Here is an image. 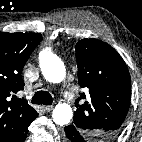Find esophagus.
Segmentation results:
<instances>
[{
    "mask_svg": "<svg viewBox=\"0 0 142 142\" xmlns=\"http://www.w3.org/2000/svg\"><path fill=\"white\" fill-rule=\"evenodd\" d=\"M43 109L45 112H50L53 109V106L49 105V106H43Z\"/></svg>",
    "mask_w": 142,
    "mask_h": 142,
    "instance_id": "esophagus-1",
    "label": "esophagus"
}]
</instances>
